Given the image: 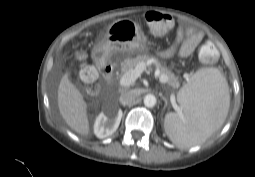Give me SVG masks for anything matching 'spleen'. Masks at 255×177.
I'll list each match as a JSON object with an SVG mask.
<instances>
[{
  "label": "spleen",
  "mask_w": 255,
  "mask_h": 177,
  "mask_svg": "<svg viewBox=\"0 0 255 177\" xmlns=\"http://www.w3.org/2000/svg\"><path fill=\"white\" fill-rule=\"evenodd\" d=\"M182 113L165 116V131L180 147L205 141L224 123L230 106L229 87L216 68L198 70L178 92Z\"/></svg>",
  "instance_id": "3e777b00"
}]
</instances>
